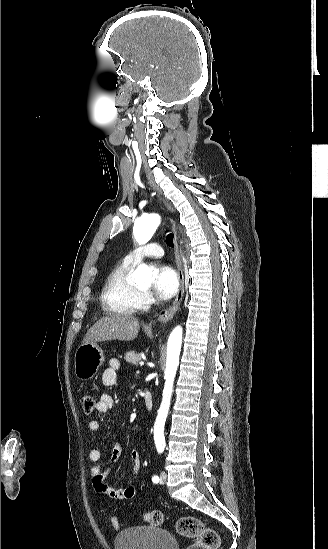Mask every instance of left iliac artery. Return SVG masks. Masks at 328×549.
<instances>
[{"mask_svg": "<svg viewBox=\"0 0 328 549\" xmlns=\"http://www.w3.org/2000/svg\"><path fill=\"white\" fill-rule=\"evenodd\" d=\"M152 481H153L154 483H158V482H159V477H158V476H154V477L152 478Z\"/></svg>", "mask_w": 328, "mask_h": 549, "instance_id": "1", "label": "left iliac artery"}]
</instances>
